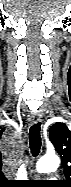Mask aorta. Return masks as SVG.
Returning <instances> with one entry per match:
<instances>
[{"instance_id":"obj_1","label":"aorta","mask_w":71,"mask_h":187,"mask_svg":"<svg viewBox=\"0 0 71 187\" xmlns=\"http://www.w3.org/2000/svg\"><path fill=\"white\" fill-rule=\"evenodd\" d=\"M59 165L60 159L57 155H45L38 160L36 170L39 173H50L55 171Z\"/></svg>"}]
</instances>
